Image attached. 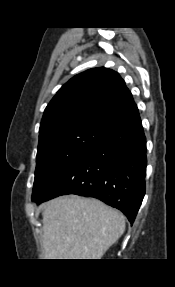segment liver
<instances>
[{
	"label": "liver",
	"mask_w": 175,
	"mask_h": 287,
	"mask_svg": "<svg viewBox=\"0 0 175 287\" xmlns=\"http://www.w3.org/2000/svg\"><path fill=\"white\" fill-rule=\"evenodd\" d=\"M42 217L45 259H101L125 231L123 214L93 198H56Z\"/></svg>",
	"instance_id": "6515ba94"
}]
</instances>
